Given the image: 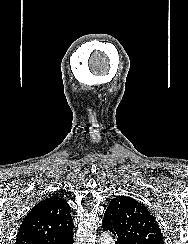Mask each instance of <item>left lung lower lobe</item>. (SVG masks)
I'll list each match as a JSON object with an SVG mask.
<instances>
[{"instance_id":"left-lung-lower-lobe-1","label":"left lung lower lobe","mask_w":188,"mask_h":244,"mask_svg":"<svg viewBox=\"0 0 188 244\" xmlns=\"http://www.w3.org/2000/svg\"><path fill=\"white\" fill-rule=\"evenodd\" d=\"M102 227H103V231L109 230V231H111L114 234V230L112 228L111 222H110V220L107 217L103 218ZM115 243L116 244H121L119 241H117V239H116Z\"/></svg>"}]
</instances>
